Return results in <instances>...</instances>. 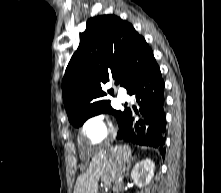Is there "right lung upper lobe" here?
<instances>
[{
    "label": "right lung upper lobe",
    "mask_w": 221,
    "mask_h": 193,
    "mask_svg": "<svg viewBox=\"0 0 221 193\" xmlns=\"http://www.w3.org/2000/svg\"><path fill=\"white\" fill-rule=\"evenodd\" d=\"M154 60L151 48L130 23L115 15L88 20L62 80L69 121L109 105L102 85L110 79L120 80L129 91L133 79ZM108 93L113 95V90Z\"/></svg>",
    "instance_id": "1"
}]
</instances>
